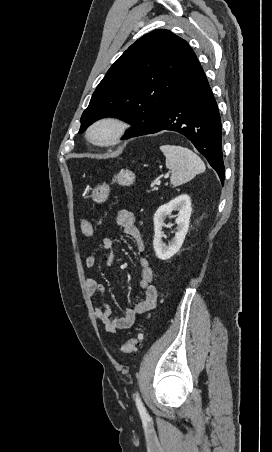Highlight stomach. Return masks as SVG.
Masks as SVG:
<instances>
[{"label":"stomach","instance_id":"obj_1","mask_svg":"<svg viewBox=\"0 0 272 452\" xmlns=\"http://www.w3.org/2000/svg\"><path fill=\"white\" fill-rule=\"evenodd\" d=\"M115 182H117L121 186H130L135 181V174L128 170V169H122L114 179ZM110 189L108 185H101L97 186L92 190V193L90 195L91 199L94 202L102 203L106 201L108 198Z\"/></svg>","mask_w":272,"mask_h":452}]
</instances>
